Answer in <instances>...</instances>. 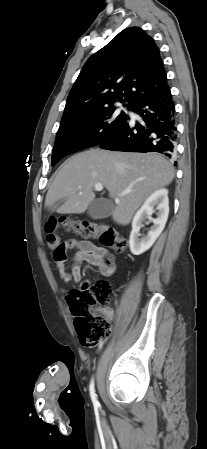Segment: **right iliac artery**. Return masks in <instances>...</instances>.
Instances as JSON below:
<instances>
[{
	"instance_id": "82829eb1",
	"label": "right iliac artery",
	"mask_w": 207,
	"mask_h": 449,
	"mask_svg": "<svg viewBox=\"0 0 207 449\" xmlns=\"http://www.w3.org/2000/svg\"><path fill=\"white\" fill-rule=\"evenodd\" d=\"M101 347H102V342L100 343V348ZM90 395H91V399H92V402H93L94 406L98 407L99 406V402L97 400V396H96V393H95L94 380L93 379L91 380V383H90Z\"/></svg>"
}]
</instances>
